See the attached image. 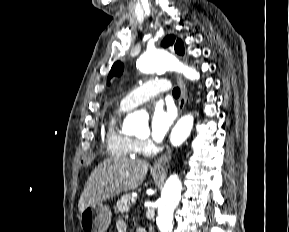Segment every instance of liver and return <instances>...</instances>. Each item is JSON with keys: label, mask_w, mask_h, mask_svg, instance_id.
<instances>
[{"label": "liver", "mask_w": 289, "mask_h": 232, "mask_svg": "<svg viewBox=\"0 0 289 232\" xmlns=\"http://www.w3.org/2000/svg\"><path fill=\"white\" fill-rule=\"evenodd\" d=\"M148 169L149 163L144 160H104L93 170L86 182L78 203L79 212L121 192L136 189L142 184Z\"/></svg>", "instance_id": "obj_1"}]
</instances>
